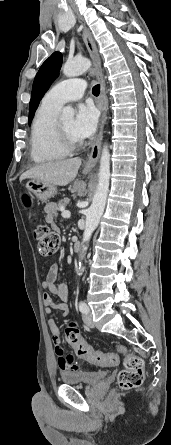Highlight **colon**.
<instances>
[{"label": "colon", "instance_id": "1", "mask_svg": "<svg viewBox=\"0 0 171 445\" xmlns=\"http://www.w3.org/2000/svg\"><path fill=\"white\" fill-rule=\"evenodd\" d=\"M25 202L28 198L25 197ZM33 235L38 245L39 253L43 256L53 255L60 243V237L53 229L47 225L38 224L33 228ZM67 343L75 350L77 355L86 361L96 365H113L117 362L114 354H104L94 350L84 342L80 336L78 326L75 322H70L65 330ZM120 351L125 352L122 348ZM144 378L143 360L131 353H125L124 369L121 370L117 378V386L120 389H131L139 387Z\"/></svg>", "mask_w": 171, "mask_h": 445}]
</instances>
